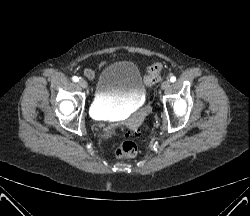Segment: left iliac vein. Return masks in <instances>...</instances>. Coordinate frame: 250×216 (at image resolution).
<instances>
[{"label": "left iliac vein", "mask_w": 250, "mask_h": 216, "mask_svg": "<svg viewBox=\"0 0 250 216\" xmlns=\"http://www.w3.org/2000/svg\"><path fill=\"white\" fill-rule=\"evenodd\" d=\"M170 85H171L170 81L169 80H165L164 82H162L161 88L163 90H166V89H168L170 87Z\"/></svg>", "instance_id": "4c4485c4"}]
</instances>
